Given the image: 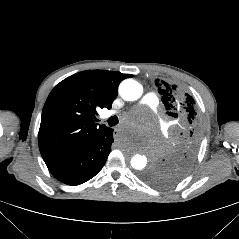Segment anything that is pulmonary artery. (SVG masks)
<instances>
[{
  "label": "pulmonary artery",
  "mask_w": 239,
  "mask_h": 239,
  "mask_svg": "<svg viewBox=\"0 0 239 239\" xmlns=\"http://www.w3.org/2000/svg\"><path fill=\"white\" fill-rule=\"evenodd\" d=\"M140 104L145 105L152 110H156L159 104V100L156 94L150 92L144 95V97L140 101ZM117 112L118 111H112L111 114H115Z\"/></svg>",
  "instance_id": "pulmonary-artery-1"
}]
</instances>
